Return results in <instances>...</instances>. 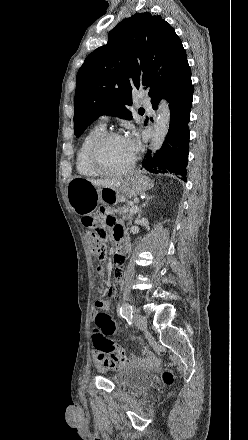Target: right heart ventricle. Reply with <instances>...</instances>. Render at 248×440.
<instances>
[{
	"label": "right heart ventricle",
	"mask_w": 248,
	"mask_h": 440,
	"mask_svg": "<svg viewBox=\"0 0 248 440\" xmlns=\"http://www.w3.org/2000/svg\"><path fill=\"white\" fill-rule=\"evenodd\" d=\"M105 132L103 125L98 124L92 127L83 137L76 155L77 172L85 177H97L98 174L93 170L89 163V150L94 141Z\"/></svg>",
	"instance_id": "1"
}]
</instances>
